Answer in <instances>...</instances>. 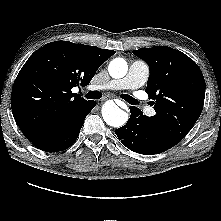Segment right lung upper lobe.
Wrapping results in <instances>:
<instances>
[{
  "label": "right lung upper lobe",
  "mask_w": 221,
  "mask_h": 221,
  "mask_svg": "<svg viewBox=\"0 0 221 221\" xmlns=\"http://www.w3.org/2000/svg\"><path fill=\"white\" fill-rule=\"evenodd\" d=\"M113 50L55 41L38 49L20 70L12 89L13 116L29 141L78 114L91 100L71 89L89 84Z\"/></svg>",
  "instance_id": "1"
}]
</instances>
